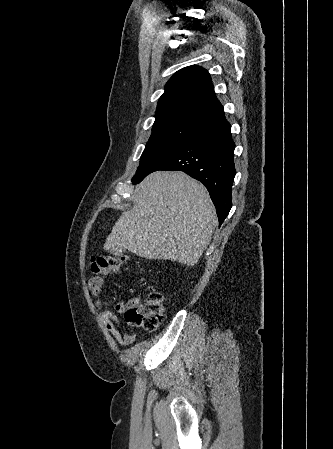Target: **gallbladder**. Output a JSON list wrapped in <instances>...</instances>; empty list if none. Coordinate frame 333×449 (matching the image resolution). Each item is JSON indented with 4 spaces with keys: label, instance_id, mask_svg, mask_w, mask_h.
<instances>
[{
    "label": "gallbladder",
    "instance_id": "gallbladder-1",
    "mask_svg": "<svg viewBox=\"0 0 333 449\" xmlns=\"http://www.w3.org/2000/svg\"><path fill=\"white\" fill-rule=\"evenodd\" d=\"M123 250H124V249L115 248V249L110 250V253H111V254H115V255H119V254H121V252H122Z\"/></svg>",
    "mask_w": 333,
    "mask_h": 449
}]
</instances>
